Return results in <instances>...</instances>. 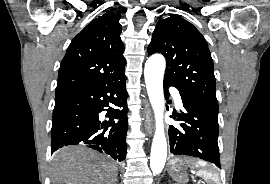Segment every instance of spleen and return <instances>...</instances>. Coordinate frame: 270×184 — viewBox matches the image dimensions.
Listing matches in <instances>:
<instances>
[{"mask_svg":"<svg viewBox=\"0 0 270 184\" xmlns=\"http://www.w3.org/2000/svg\"><path fill=\"white\" fill-rule=\"evenodd\" d=\"M193 167L197 169V173L208 181L209 184H221L218 175L208 168L205 162L198 161Z\"/></svg>","mask_w":270,"mask_h":184,"instance_id":"obj_1","label":"spleen"}]
</instances>
